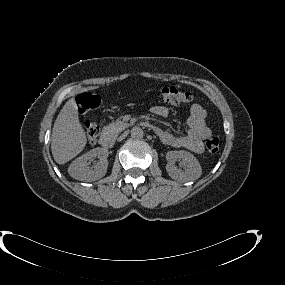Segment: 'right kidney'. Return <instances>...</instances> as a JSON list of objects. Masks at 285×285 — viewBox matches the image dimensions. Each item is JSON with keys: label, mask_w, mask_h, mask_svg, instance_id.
Here are the masks:
<instances>
[{"label": "right kidney", "mask_w": 285, "mask_h": 285, "mask_svg": "<svg viewBox=\"0 0 285 285\" xmlns=\"http://www.w3.org/2000/svg\"><path fill=\"white\" fill-rule=\"evenodd\" d=\"M107 151L103 148H95L78 157L68 168L71 177L81 181H95L103 177L107 172ZM98 157L99 162L90 167V162Z\"/></svg>", "instance_id": "right-kidney-1"}]
</instances>
